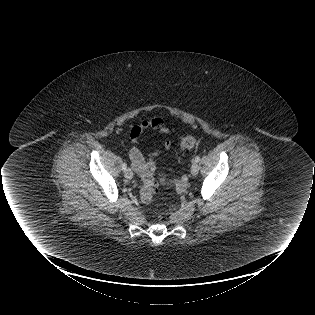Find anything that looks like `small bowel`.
Here are the masks:
<instances>
[{
    "instance_id": "small-bowel-1",
    "label": "small bowel",
    "mask_w": 315,
    "mask_h": 315,
    "mask_svg": "<svg viewBox=\"0 0 315 315\" xmlns=\"http://www.w3.org/2000/svg\"><path fill=\"white\" fill-rule=\"evenodd\" d=\"M147 129H151L159 135H168L170 133V129L166 126L165 120L158 116L144 118L130 125L129 131L132 147L129 152V158L133 169L137 173H140L145 163V158L138 148V144L142 133ZM162 146L164 149L169 150L172 147V142L170 140H165L163 141ZM159 154V150H154L148 153L151 158L157 157Z\"/></svg>"
}]
</instances>
